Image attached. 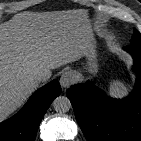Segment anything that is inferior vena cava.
Listing matches in <instances>:
<instances>
[{
	"instance_id": "inferior-vena-cava-1",
	"label": "inferior vena cava",
	"mask_w": 141,
	"mask_h": 141,
	"mask_svg": "<svg viewBox=\"0 0 141 141\" xmlns=\"http://www.w3.org/2000/svg\"><path fill=\"white\" fill-rule=\"evenodd\" d=\"M34 76L38 81H47L51 77V72L46 70H37Z\"/></svg>"
}]
</instances>
